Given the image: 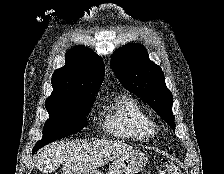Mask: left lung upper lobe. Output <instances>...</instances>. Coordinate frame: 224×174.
Instances as JSON below:
<instances>
[{
  "label": "left lung upper lobe",
  "mask_w": 224,
  "mask_h": 174,
  "mask_svg": "<svg viewBox=\"0 0 224 174\" xmlns=\"http://www.w3.org/2000/svg\"><path fill=\"white\" fill-rule=\"evenodd\" d=\"M111 67L127 90L141 97L175 130L173 96L165 85L162 69L149 60L143 46L128 44L116 50Z\"/></svg>",
  "instance_id": "obj_1"
}]
</instances>
